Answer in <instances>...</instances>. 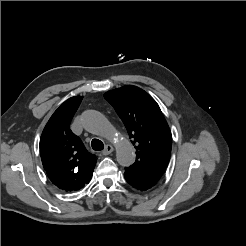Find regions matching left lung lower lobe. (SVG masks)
<instances>
[{
	"instance_id": "left-lung-lower-lobe-1",
	"label": "left lung lower lobe",
	"mask_w": 246,
	"mask_h": 246,
	"mask_svg": "<svg viewBox=\"0 0 246 246\" xmlns=\"http://www.w3.org/2000/svg\"><path fill=\"white\" fill-rule=\"evenodd\" d=\"M124 177L133 188L141 191H146L157 183L156 180L130 167L125 168Z\"/></svg>"
}]
</instances>
